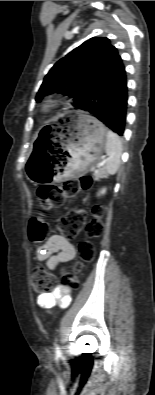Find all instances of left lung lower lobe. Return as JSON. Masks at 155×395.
Listing matches in <instances>:
<instances>
[{"mask_svg":"<svg viewBox=\"0 0 155 395\" xmlns=\"http://www.w3.org/2000/svg\"><path fill=\"white\" fill-rule=\"evenodd\" d=\"M128 101L127 76L121 61L110 70L96 89L80 105L103 122L118 135L122 136L126 123Z\"/></svg>","mask_w":155,"mask_h":395,"instance_id":"1","label":"left lung lower lobe"}]
</instances>
